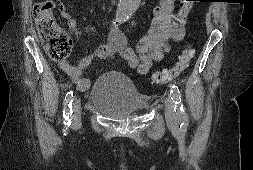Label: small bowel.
<instances>
[{"label": "small bowel", "mask_w": 253, "mask_h": 170, "mask_svg": "<svg viewBox=\"0 0 253 170\" xmlns=\"http://www.w3.org/2000/svg\"><path fill=\"white\" fill-rule=\"evenodd\" d=\"M174 3L175 0H161L160 5L154 9L149 31L142 37L136 50L114 43H100L92 53L82 57L77 64L59 61V68L73 80L80 91H86L90 86V81L83 77V73L96 57L106 58L118 53L139 75L147 76L154 61L164 60L165 54L169 51L168 42H179L184 37L185 20L174 14ZM59 10L61 17L67 21L69 30L79 37L81 31L67 6L61 3Z\"/></svg>", "instance_id": "1"}]
</instances>
